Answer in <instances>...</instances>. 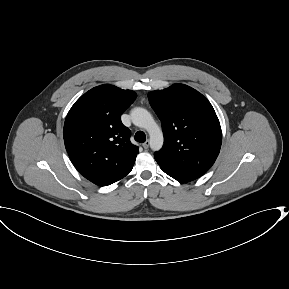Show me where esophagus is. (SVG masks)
<instances>
[{
  "label": "esophagus",
  "mask_w": 289,
  "mask_h": 289,
  "mask_svg": "<svg viewBox=\"0 0 289 289\" xmlns=\"http://www.w3.org/2000/svg\"><path fill=\"white\" fill-rule=\"evenodd\" d=\"M149 145H150L149 140H147L146 142H144V143H143L144 149H148Z\"/></svg>",
  "instance_id": "1"
}]
</instances>
